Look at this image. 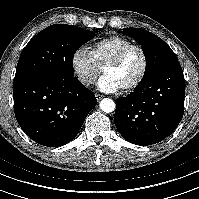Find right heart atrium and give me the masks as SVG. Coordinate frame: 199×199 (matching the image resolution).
Listing matches in <instances>:
<instances>
[{
	"label": "right heart atrium",
	"mask_w": 199,
	"mask_h": 199,
	"mask_svg": "<svg viewBox=\"0 0 199 199\" xmlns=\"http://www.w3.org/2000/svg\"><path fill=\"white\" fill-rule=\"evenodd\" d=\"M71 68L78 81L84 86L92 85L99 75V67L91 53L84 47L77 48L72 54Z\"/></svg>",
	"instance_id": "1"
}]
</instances>
